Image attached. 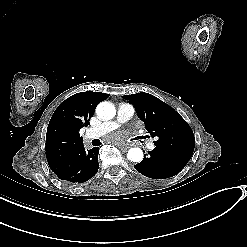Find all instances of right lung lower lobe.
Returning a JSON list of instances; mask_svg holds the SVG:
<instances>
[{"label":"right lung lower lobe","instance_id":"obj_1","mask_svg":"<svg viewBox=\"0 0 247 247\" xmlns=\"http://www.w3.org/2000/svg\"><path fill=\"white\" fill-rule=\"evenodd\" d=\"M98 152L99 148L97 147L85 151L83 143H81L48 164L59 179L83 183L98 171Z\"/></svg>","mask_w":247,"mask_h":247}]
</instances>
